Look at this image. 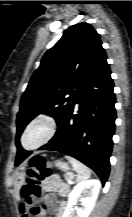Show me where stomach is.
Returning <instances> with one entry per match:
<instances>
[{
    "label": "stomach",
    "mask_w": 132,
    "mask_h": 217,
    "mask_svg": "<svg viewBox=\"0 0 132 217\" xmlns=\"http://www.w3.org/2000/svg\"><path fill=\"white\" fill-rule=\"evenodd\" d=\"M56 167H58L59 169L63 170V171H68L70 169L69 165L65 162H62L60 160H57L55 162ZM23 177H19L18 180H22Z\"/></svg>",
    "instance_id": "obj_1"
}]
</instances>
